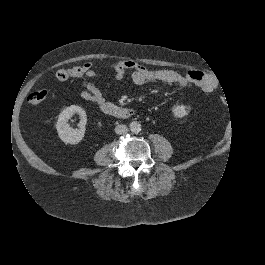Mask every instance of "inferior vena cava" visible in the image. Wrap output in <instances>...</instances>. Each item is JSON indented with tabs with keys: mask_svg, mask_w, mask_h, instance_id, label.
Returning <instances> with one entry per match:
<instances>
[{
	"mask_svg": "<svg viewBox=\"0 0 265 265\" xmlns=\"http://www.w3.org/2000/svg\"><path fill=\"white\" fill-rule=\"evenodd\" d=\"M116 134H126L128 132V128L126 125L120 124L115 127Z\"/></svg>",
	"mask_w": 265,
	"mask_h": 265,
	"instance_id": "inferior-vena-cava-1",
	"label": "inferior vena cava"
}]
</instances>
